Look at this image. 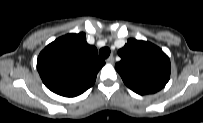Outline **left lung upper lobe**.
<instances>
[{
  "label": "left lung upper lobe",
  "instance_id": "5c2ea615",
  "mask_svg": "<svg viewBox=\"0 0 203 123\" xmlns=\"http://www.w3.org/2000/svg\"><path fill=\"white\" fill-rule=\"evenodd\" d=\"M118 55L121 61L116 63L115 68L124 83L135 93H155L169 81V57L154 44L129 39Z\"/></svg>",
  "mask_w": 203,
  "mask_h": 123
}]
</instances>
